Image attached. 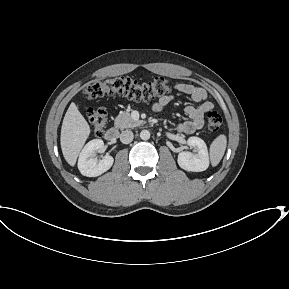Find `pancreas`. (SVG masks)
<instances>
[{
    "label": "pancreas",
    "mask_w": 289,
    "mask_h": 289,
    "mask_svg": "<svg viewBox=\"0 0 289 289\" xmlns=\"http://www.w3.org/2000/svg\"><path fill=\"white\" fill-rule=\"evenodd\" d=\"M140 124L141 121H135L129 112H120L114 122L115 127L118 129L134 128Z\"/></svg>",
    "instance_id": "cf45deb5"
}]
</instances>
